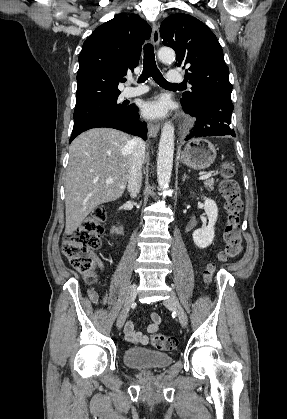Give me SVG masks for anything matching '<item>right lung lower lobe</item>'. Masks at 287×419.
Wrapping results in <instances>:
<instances>
[{
    "mask_svg": "<svg viewBox=\"0 0 287 419\" xmlns=\"http://www.w3.org/2000/svg\"><path fill=\"white\" fill-rule=\"evenodd\" d=\"M97 127L114 128L129 134L137 135L143 138H147V124L139 121L138 108L131 106V110L126 114H98L74 125L72 135L70 138L71 142L80 133Z\"/></svg>",
    "mask_w": 287,
    "mask_h": 419,
    "instance_id": "right-lung-lower-lobe-1",
    "label": "right lung lower lobe"
}]
</instances>
